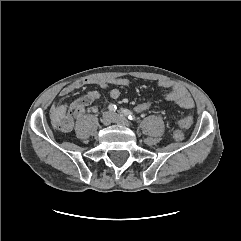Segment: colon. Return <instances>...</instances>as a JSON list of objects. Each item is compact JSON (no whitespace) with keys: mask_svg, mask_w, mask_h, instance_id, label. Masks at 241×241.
Returning a JSON list of instances; mask_svg holds the SVG:
<instances>
[{"mask_svg":"<svg viewBox=\"0 0 241 241\" xmlns=\"http://www.w3.org/2000/svg\"><path fill=\"white\" fill-rule=\"evenodd\" d=\"M152 104L149 101L140 102L135 107L134 110L137 113H146L151 110ZM52 120L55 124V126L58 129H63L65 125L69 123V117L66 116V113L62 110H52ZM193 124V118L191 116L183 117L179 120L178 125L181 129H188ZM184 135L181 130H176L173 133V138L176 141H181L183 139Z\"/></svg>","mask_w":241,"mask_h":241,"instance_id":"colon-1","label":"colon"}]
</instances>
